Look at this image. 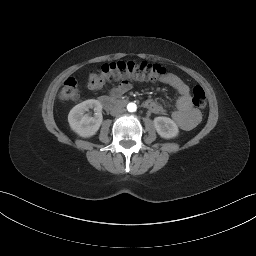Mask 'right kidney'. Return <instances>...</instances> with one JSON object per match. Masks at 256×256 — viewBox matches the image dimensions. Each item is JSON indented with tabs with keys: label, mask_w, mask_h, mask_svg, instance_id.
Returning <instances> with one entry per match:
<instances>
[{
	"label": "right kidney",
	"mask_w": 256,
	"mask_h": 256,
	"mask_svg": "<svg viewBox=\"0 0 256 256\" xmlns=\"http://www.w3.org/2000/svg\"><path fill=\"white\" fill-rule=\"evenodd\" d=\"M94 110V116L87 111ZM103 121L102 105L98 100L90 99L74 106L68 114L70 128L81 137H91L99 130Z\"/></svg>",
	"instance_id": "obj_1"
}]
</instances>
